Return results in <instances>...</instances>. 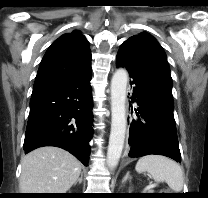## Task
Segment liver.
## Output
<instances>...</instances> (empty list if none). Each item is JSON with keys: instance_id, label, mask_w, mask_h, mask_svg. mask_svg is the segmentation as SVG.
<instances>
[{"instance_id": "liver-1", "label": "liver", "mask_w": 208, "mask_h": 198, "mask_svg": "<svg viewBox=\"0 0 208 198\" xmlns=\"http://www.w3.org/2000/svg\"><path fill=\"white\" fill-rule=\"evenodd\" d=\"M81 163L57 147H41L22 159L21 193H66L78 180Z\"/></svg>"}]
</instances>
